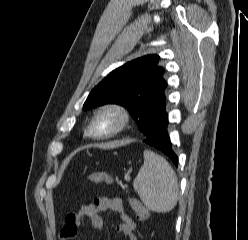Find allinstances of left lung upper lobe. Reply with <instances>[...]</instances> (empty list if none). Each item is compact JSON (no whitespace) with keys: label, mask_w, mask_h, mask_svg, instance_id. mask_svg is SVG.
Instances as JSON below:
<instances>
[{"label":"left lung upper lobe","mask_w":248,"mask_h":240,"mask_svg":"<svg viewBox=\"0 0 248 240\" xmlns=\"http://www.w3.org/2000/svg\"><path fill=\"white\" fill-rule=\"evenodd\" d=\"M158 55H146L113 70L90 92L83 109L107 103L127 108L144 134L153 117L166 106L167 82Z\"/></svg>","instance_id":"5c2ea615"}]
</instances>
